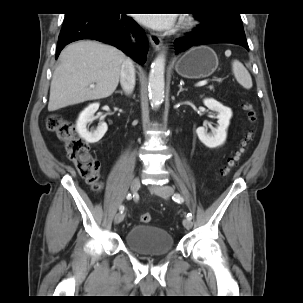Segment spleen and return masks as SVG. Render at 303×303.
I'll return each instance as SVG.
<instances>
[{"mask_svg":"<svg viewBox=\"0 0 303 303\" xmlns=\"http://www.w3.org/2000/svg\"><path fill=\"white\" fill-rule=\"evenodd\" d=\"M232 71L237 80V82L244 87L245 89L252 88V79L248 72V70L244 67V65L238 61H232Z\"/></svg>","mask_w":303,"mask_h":303,"instance_id":"spleen-1","label":"spleen"}]
</instances>
